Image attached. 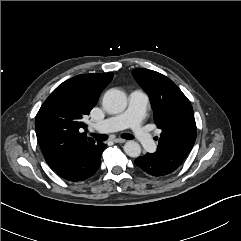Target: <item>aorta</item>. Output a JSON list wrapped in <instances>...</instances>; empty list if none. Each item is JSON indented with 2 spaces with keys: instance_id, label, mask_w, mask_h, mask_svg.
<instances>
[{
  "instance_id": "1",
  "label": "aorta",
  "mask_w": 241,
  "mask_h": 241,
  "mask_svg": "<svg viewBox=\"0 0 241 241\" xmlns=\"http://www.w3.org/2000/svg\"><path fill=\"white\" fill-rule=\"evenodd\" d=\"M127 97L124 92L118 89H109L103 96V107L110 114H118L125 110ZM124 152L130 157H138L141 154V147L135 141H127L124 144Z\"/></svg>"
}]
</instances>
